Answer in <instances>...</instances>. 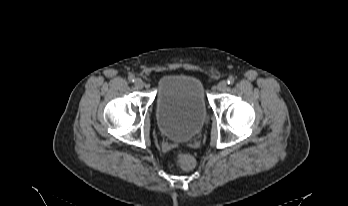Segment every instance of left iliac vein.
Masks as SVG:
<instances>
[{"instance_id":"obj_1","label":"left iliac vein","mask_w":348,"mask_h":206,"mask_svg":"<svg viewBox=\"0 0 348 206\" xmlns=\"http://www.w3.org/2000/svg\"><path fill=\"white\" fill-rule=\"evenodd\" d=\"M227 88V82L225 80H222L218 83L217 89L219 91H224Z\"/></svg>"}]
</instances>
